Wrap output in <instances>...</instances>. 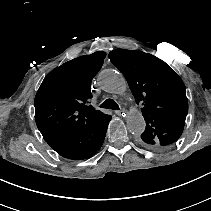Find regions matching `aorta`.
Instances as JSON below:
<instances>
[{
    "label": "aorta",
    "mask_w": 211,
    "mask_h": 211,
    "mask_svg": "<svg viewBox=\"0 0 211 211\" xmlns=\"http://www.w3.org/2000/svg\"><path fill=\"white\" fill-rule=\"evenodd\" d=\"M99 84L105 92L122 94L125 92L127 84L124 76L111 69L102 71L98 75ZM127 127L135 135L145 130L146 123L142 113L137 109H132L127 115Z\"/></svg>",
    "instance_id": "762f6f07"
}]
</instances>
